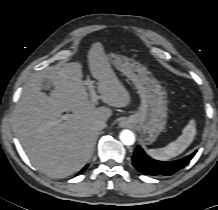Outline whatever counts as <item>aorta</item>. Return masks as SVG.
<instances>
[{
  "mask_svg": "<svg viewBox=\"0 0 218 210\" xmlns=\"http://www.w3.org/2000/svg\"><path fill=\"white\" fill-rule=\"evenodd\" d=\"M119 137L121 142L127 146L133 145L135 142V135L130 130H123Z\"/></svg>",
  "mask_w": 218,
  "mask_h": 210,
  "instance_id": "aorta-1",
  "label": "aorta"
}]
</instances>
